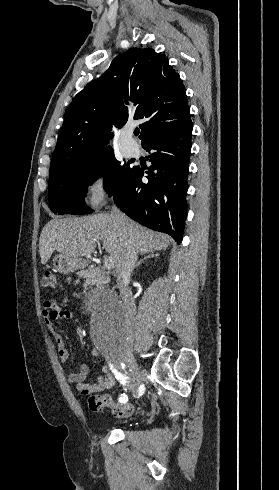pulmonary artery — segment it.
<instances>
[{"label": "pulmonary artery", "mask_w": 279, "mask_h": 490, "mask_svg": "<svg viewBox=\"0 0 279 490\" xmlns=\"http://www.w3.org/2000/svg\"><path fill=\"white\" fill-rule=\"evenodd\" d=\"M120 134L122 136V138L120 139V144L123 146L122 152L124 156L134 157L137 154L138 147L136 144H131V139L129 138L132 134L131 129L122 128Z\"/></svg>", "instance_id": "pulmonary-artery-1"}]
</instances>
